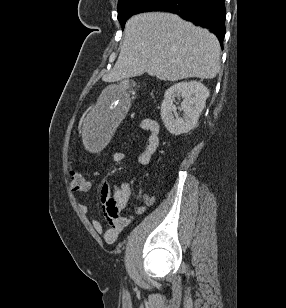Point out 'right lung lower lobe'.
<instances>
[{
	"label": "right lung lower lobe",
	"mask_w": 286,
	"mask_h": 308,
	"mask_svg": "<svg viewBox=\"0 0 286 308\" xmlns=\"http://www.w3.org/2000/svg\"><path fill=\"white\" fill-rule=\"evenodd\" d=\"M153 11L171 12L195 25L211 30L221 46L225 36L224 0H168Z\"/></svg>",
	"instance_id": "right-lung-lower-lobe-1"
}]
</instances>
